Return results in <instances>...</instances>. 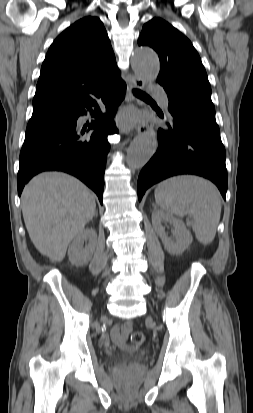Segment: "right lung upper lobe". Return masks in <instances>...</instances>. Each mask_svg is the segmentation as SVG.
I'll return each mask as SVG.
<instances>
[{
    "mask_svg": "<svg viewBox=\"0 0 253 413\" xmlns=\"http://www.w3.org/2000/svg\"><path fill=\"white\" fill-rule=\"evenodd\" d=\"M120 71L103 23L84 17L63 31L42 64L32 116L70 111L100 97Z\"/></svg>",
    "mask_w": 253,
    "mask_h": 413,
    "instance_id": "1",
    "label": "right lung upper lobe"
}]
</instances>
